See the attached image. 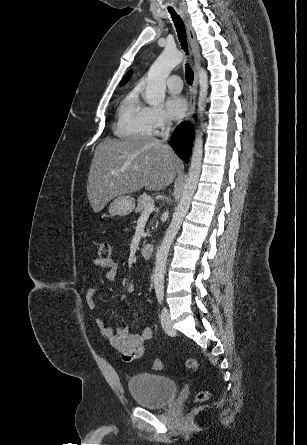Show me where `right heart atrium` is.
<instances>
[{"mask_svg":"<svg viewBox=\"0 0 307 445\" xmlns=\"http://www.w3.org/2000/svg\"><path fill=\"white\" fill-rule=\"evenodd\" d=\"M144 123L153 135H159L170 126L169 119L163 110L157 107L147 106L144 114Z\"/></svg>","mask_w":307,"mask_h":445,"instance_id":"right-heart-atrium-1","label":"right heart atrium"}]
</instances>
